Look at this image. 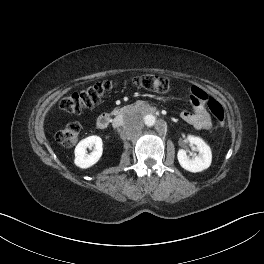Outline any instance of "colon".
<instances>
[{
  "label": "colon",
  "mask_w": 264,
  "mask_h": 264,
  "mask_svg": "<svg viewBox=\"0 0 264 264\" xmlns=\"http://www.w3.org/2000/svg\"><path fill=\"white\" fill-rule=\"evenodd\" d=\"M132 84L157 93H165L170 89L168 79L157 75H142L132 79ZM116 86L115 82L102 81L85 90L72 93L64 97L60 102V108L70 114H78L93 108L103 96ZM207 107L217 122L223 126L225 112L222 105L216 100H209ZM79 137V126L75 123L68 124L56 133V140L64 147H72Z\"/></svg>",
  "instance_id": "1"
}]
</instances>
